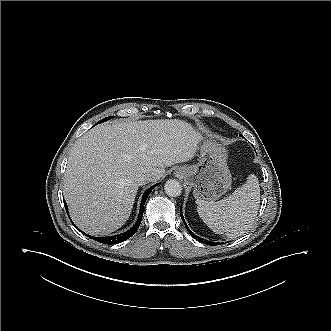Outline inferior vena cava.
I'll use <instances>...</instances> for the list:
<instances>
[{"mask_svg": "<svg viewBox=\"0 0 331 331\" xmlns=\"http://www.w3.org/2000/svg\"><path fill=\"white\" fill-rule=\"evenodd\" d=\"M154 175L152 174H143L137 178L138 185H145L149 182H152L154 179Z\"/></svg>", "mask_w": 331, "mask_h": 331, "instance_id": "inferior-vena-cava-1", "label": "inferior vena cava"}]
</instances>
